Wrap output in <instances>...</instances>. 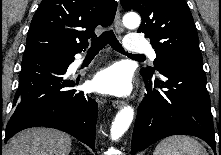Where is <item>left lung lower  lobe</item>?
<instances>
[{
    "instance_id": "obj_1",
    "label": "left lung lower lobe",
    "mask_w": 221,
    "mask_h": 155,
    "mask_svg": "<svg viewBox=\"0 0 221 155\" xmlns=\"http://www.w3.org/2000/svg\"><path fill=\"white\" fill-rule=\"evenodd\" d=\"M159 72L163 80L141 73L148 82L147 94L138 108L132 154L164 137L177 134L197 136L216 153L210 97L202 62L171 60L163 64Z\"/></svg>"
}]
</instances>
